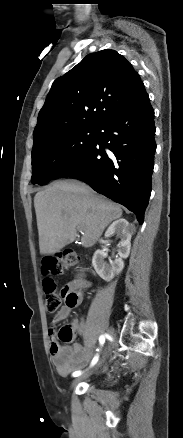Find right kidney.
Returning a JSON list of instances; mask_svg holds the SVG:
<instances>
[{"label": "right kidney", "instance_id": "1", "mask_svg": "<svg viewBox=\"0 0 183 438\" xmlns=\"http://www.w3.org/2000/svg\"><path fill=\"white\" fill-rule=\"evenodd\" d=\"M135 231V227L130 224L126 219H118L114 221L106 230L105 237H110L113 234H117L120 238L118 244L119 258L107 263L104 259L107 257L105 250L95 251L92 258V265L97 274L105 281H110L115 275H118L124 268L123 259L127 258L131 248V236Z\"/></svg>", "mask_w": 183, "mask_h": 438}]
</instances>
